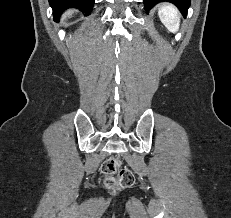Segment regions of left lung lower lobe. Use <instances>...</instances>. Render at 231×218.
<instances>
[{
    "label": "left lung lower lobe",
    "instance_id": "obj_1",
    "mask_svg": "<svg viewBox=\"0 0 231 218\" xmlns=\"http://www.w3.org/2000/svg\"><path fill=\"white\" fill-rule=\"evenodd\" d=\"M163 1L175 4L184 16L187 14L190 6V0H143L146 10L151 9L155 4Z\"/></svg>",
    "mask_w": 231,
    "mask_h": 218
}]
</instances>
